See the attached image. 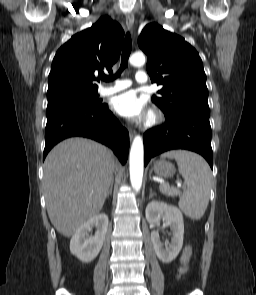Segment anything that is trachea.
Listing matches in <instances>:
<instances>
[{"mask_svg": "<svg viewBox=\"0 0 256 295\" xmlns=\"http://www.w3.org/2000/svg\"><path fill=\"white\" fill-rule=\"evenodd\" d=\"M131 49H132L131 36H130V33L127 32V34L125 36V40H124L123 50H122L120 69L114 76L104 77L103 79L105 81H113L114 79H116L117 77L120 76L122 71L127 67L128 59H129V56L131 53Z\"/></svg>", "mask_w": 256, "mask_h": 295, "instance_id": "trachea-1", "label": "trachea"}]
</instances>
